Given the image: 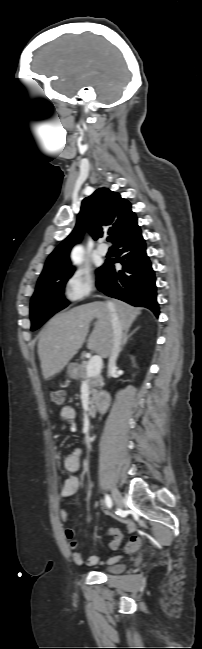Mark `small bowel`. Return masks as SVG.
Segmentation results:
<instances>
[{
	"instance_id": "obj_1",
	"label": "small bowel",
	"mask_w": 202,
	"mask_h": 649,
	"mask_svg": "<svg viewBox=\"0 0 202 649\" xmlns=\"http://www.w3.org/2000/svg\"><path fill=\"white\" fill-rule=\"evenodd\" d=\"M76 416V411L72 406L66 405L60 410V419L63 422L72 421ZM81 467V450L79 448L75 449L69 455L65 457L64 468L69 473H77ZM80 488V480L76 475H71L64 480L60 491L61 500H67L72 497ZM60 518L64 525L71 523V517L69 512L66 509H62L60 512ZM107 536L112 537V541L109 543V549L115 550L119 547L123 534L118 528H110L107 531ZM64 537L68 541V548L73 551L72 558L78 566H102L110 565L119 561L121 556H112L104 560L99 555H92L84 557L80 552H77L78 541L74 537V531L70 528L64 530Z\"/></svg>"
}]
</instances>
